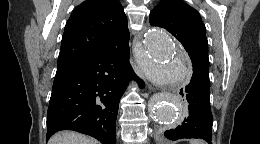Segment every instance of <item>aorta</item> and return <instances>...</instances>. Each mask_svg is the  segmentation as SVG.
<instances>
[{
  "label": "aorta",
  "instance_id": "762f6f07",
  "mask_svg": "<svg viewBox=\"0 0 260 144\" xmlns=\"http://www.w3.org/2000/svg\"><path fill=\"white\" fill-rule=\"evenodd\" d=\"M142 53L139 67L150 82L177 86L187 77V57L163 29L152 27L147 31ZM149 105L157 122L174 125L181 119L182 99L177 93L156 94Z\"/></svg>",
  "mask_w": 260,
  "mask_h": 144
}]
</instances>
